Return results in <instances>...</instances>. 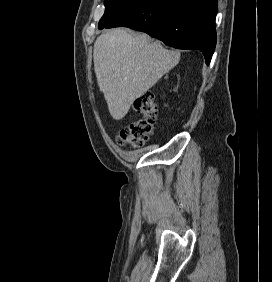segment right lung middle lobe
Instances as JSON below:
<instances>
[{"instance_id": "right-lung-middle-lobe-1", "label": "right lung middle lobe", "mask_w": 272, "mask_h": 282, "mask_svg": "<svg viewBox=\"0 0 272 282\" xmlns=\"http://www.w3.org/2000/svg\"><path fill=\"white\" fill-rule=\"evenodd\" d=\"M135 1L136 0H105V13L99 22L98 28L103 29L106 24L125 11Z\"/></svg>"}]
</instances>
